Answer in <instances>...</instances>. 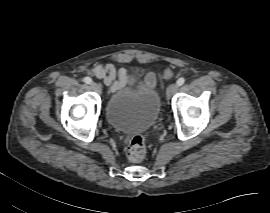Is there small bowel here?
Instances as JSON below:
<instances>
[{"mask_svg": "<svg viewBox=\"0 0 270 213\" xmlns=\"http://www.w3.org/2000/svg\"><path fill=\"white\" fill-rule=\"evenodd\" d=\"M94 77L101 80L110 90L115 91L121 87H124L127 83L131 87H135L140 79V75L135 72L130 76L127 75L125 69L116 68L113 64L97 63L91 70ZM145 85L152 89L156 83V77L154 72H148L144 78Z\"/></svg>", "mask_w": 270, "mask_h": 213, "instance_id": "obj_1", "label": "small bowel"}]
</instances>
